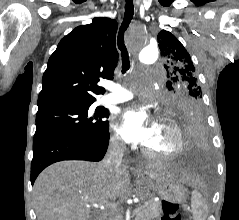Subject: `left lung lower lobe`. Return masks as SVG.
Segmentation results:
<instances>
[{"label": "left lung lower lobe", "mask_w": 239, "mask_h": 220, "mask_svg": "<svg viewBox=\"0 0 239 220\" xmlns=\"http://www.w3.org/2000/svg\"><path fill=\"white\" fill-rule=\"evenodd\" d=\"M174 118L185 135L186 152L183 161L186 165L197 167L205 165L208 162V137L205 132L203 108H185Z\"/></svg>", "instance_id": "obj_1"}]
</instances>
